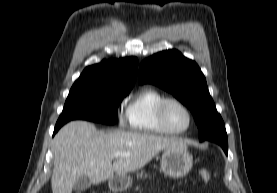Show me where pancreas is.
I'll use <instances>...</instances> for the list:
<instances>
[{
  "label": "pancreas",
  "mask_w": 277,
  "mask_h": 193,
  "mask_svg": "<svg viewBox=\"0 0 277 193\" xmlns=\"http://www.w3.org/2000/svg\"><path fill=\"white\" fill-rule=\"evenodd\" d=\"M148 176V174L147 173H145L143 170L142 171H140V172H137V177L138 178H142V177H147Z\"/></svg>",
  "instance_id": "obj_1"
}]
</instances>
